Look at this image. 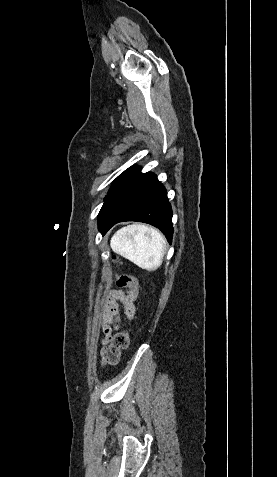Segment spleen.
Listing matches in <instances>:
<instances>
[{
	"instance_id": "spleen-1",
	"label": "spleen",
	"mask_w": 277,
	"mask_h": 477,
	"mask_svg": "<svg viewBox=\"0 0 277 477\" xmlns=\"http://www.w3.org/2000/svg\"><path fill=\"white\" fill-rule=\"evenodd\" d=\"M112 250L147 271L157 270L165 254L166 241L156 229L132 224L119 229L111 238Z\"/></svg>"
}]
</instances>
